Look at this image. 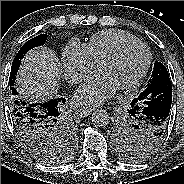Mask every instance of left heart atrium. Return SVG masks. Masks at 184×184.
<instances>
[{
  "label": "left heart atrium",
  "mask_w": 184,
  "mask_h": 184,
  "mask_svg": "<svg viewBox=\"0 0 184 184\" xmlns=\"http://www.w3.org/2000/svg\"><path fill=\"white\" fill-rule=\"evenodd\" d=\"M117 90L114 83L102 73L87 79L76 91L79 103L98 105L111 98Z\"/></svg>",
  "instance_id": "39dd6f15"
}]
</instances>
